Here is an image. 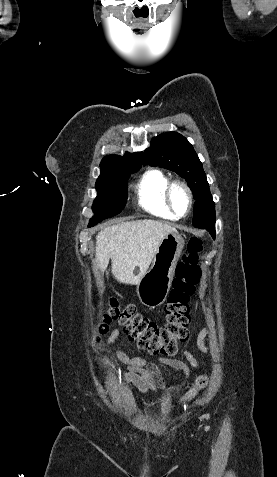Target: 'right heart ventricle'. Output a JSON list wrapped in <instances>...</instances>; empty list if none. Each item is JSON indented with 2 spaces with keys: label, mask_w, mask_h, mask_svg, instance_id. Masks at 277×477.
<instances>
[{
  "label": "right heart ventricle",
  "mask_w": 277,
  "mask_h": 477,
  "mask_svg": "<svg viewBox=\"0 0 277 477\" xmlns=\"http://www.w3.org/2000/svg\"><path fill=\"white\" fill-rule=\"evenodd\" d=\"M170 178L159 169L146 171L137 184L139 205L150 214L168 220H177L165 201V189Z\"/></svg>",
  "instance_id": "e07e8e85"
}]
</instances>
